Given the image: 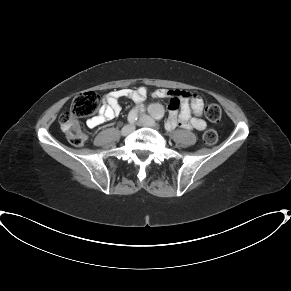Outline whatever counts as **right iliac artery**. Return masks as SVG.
<instances>
[{"label": "right iliac artery", "instance_id": "obj_1", "mask_svg": "<svg viewBox=\"0 0 291 291\" xmlns=\"http://www.w3.org/2000/svg\"><path fill=\"white\" fill-rule=\"evenodd\" d=\"M138 114L136 109H132L128 115V122L130 124H134L137 120Z\"/></svg>", "mask_w": 291, "mask_h": 291}]
</instances>
